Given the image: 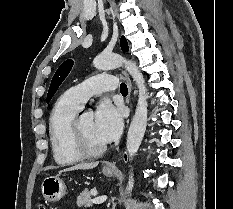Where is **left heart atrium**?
Returning a JSON list of instances; mask_svg holds the SVG:
<instances>
[{"mask_svg":"<svg viewBox=\"0 0 233 209\" xmlns=\"http://www.w3.org/2000/svg\"><path fill=\"white\" fill-rule=\"evenodd\" d=\"M122 130V116L119 109L103 101L99 104L94 117V133L103 143L115 140Z\"/></svg>","mask_w":233,"mask_h":209,"instance_id":"1","label":"left heart atrium"}]
</instances>
